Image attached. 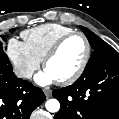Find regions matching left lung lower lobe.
I'll list each match as a JSON object with an SVG mask.
<instances>
[{"mask_svg": "<svg viewBox=\"0 0 119 119\" xmlns=\"http://www.w3.org/2000/svg\"><path fill=\"white\" fill-rule=\"evenodd\" d=\"M52 94L61 104L55 119H119V53L86 67L76 82Z\"/></svg>", "mask_w": 119, "mask_h": 119, "instance_id": "0a47b994", "label": "left lung lower lobe"}]
</instances>
